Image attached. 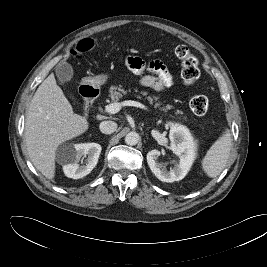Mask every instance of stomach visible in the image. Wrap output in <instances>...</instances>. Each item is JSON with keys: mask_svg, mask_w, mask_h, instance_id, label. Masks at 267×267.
Returning <instances> with one entry per match:
<instances>
[{"mask_svg": "<svg viewBox=\"0 0 267 267\" xmlns=\"http://www.w3.org/2000/svg\"><path fill=\"white\" fill-rule=\"evenodd\" d=\"M107 80H108V75L100 74V75L87 78L85 82L92 87L98 88L104 83H106Z\"/></svg>", "mask_w": 267, "mask_h": 267, "instance_id": "obj_1", "label": "stomach"}]
</instances>
